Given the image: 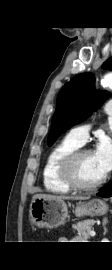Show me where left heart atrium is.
Listing matches in <instances>:
<instances>
[{"label":"left heart atrium","mask_w":112,"mask_h":270,"mask_svg":"<svg viewBox=\"0 0 112 270\" xmlns=\"http://www.w3.org/2000/svg\"><path fill=\"white\" fill-rule=\"evenodd\" d=\"M93 153L103 175L109 173L112 169V142L108 138H102Z\"/></svg>","instance_id":"39dd6f15"}]
</instances>
